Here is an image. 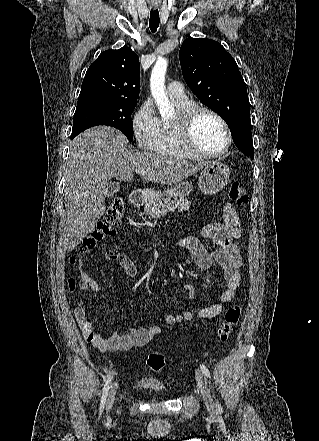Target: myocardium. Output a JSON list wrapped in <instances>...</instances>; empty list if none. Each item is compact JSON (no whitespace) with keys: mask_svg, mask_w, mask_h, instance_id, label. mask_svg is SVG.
<instances>
[{"mask_svg":"<svg viewBox=\"0 0 319 441\" xmlns=\"http://www.w3.org/2000/svg\"><path fill=\"white\" fill-rule=\"evenodd\" d=\"M210 115L215 118L223 127L226 134V144L218 152L210 153L199 149L194 143L193 133L197 120L201 115ZM178 139L181 146L191 155L199 158H216L225 154L232 144V133L226 120L216 111L203 107L193 106L183 112H180L174 119Z\"/></svg>","mask_w":319,"mask_h":441,"instance_id":"obj_1","label":"myocardium"}]
</instances>
